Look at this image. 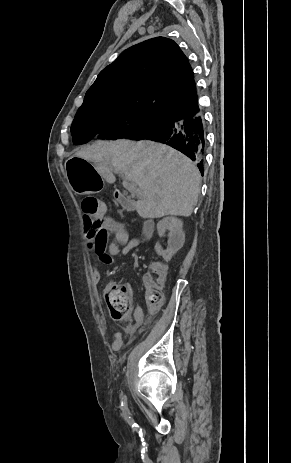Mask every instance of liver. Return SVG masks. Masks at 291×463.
Instances as JSON below:
<instances>
[{
	"mask_svg": "<svg viewBox=\"0 0 291 463\" xmlns=\"http://www.w3.org/2000/svg\"><path fill=\"white\" fill-rule=\"evenodd\" d=\"M93 162L112 184L115 169L139 187L136 210L142 218L189 217L198 201L201 175L195 164L175 149L149 140L97 141L75 153Z\"/></svg>",
	"mask_w": 291,
	"mask_h": 463,
	"instance_id": "liver-1",
	"label": "liver"
}]
</instances>
